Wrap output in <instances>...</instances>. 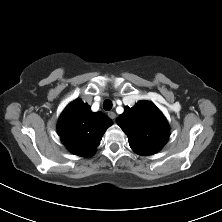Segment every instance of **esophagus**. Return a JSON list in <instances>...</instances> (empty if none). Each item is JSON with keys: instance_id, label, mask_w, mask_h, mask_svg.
Instances as JSON below:
<instances>
[{"instance_id": "obj_1", "label": "esophagus", "mask_w": 222, "mask_h": 222, "mask_svg": "<svg viewBox=\"0 0 222 222\" xmlns=\"http://www.w3.org/2000/svg\"><path fill=\"white\" fill-rule=\"evenodd\" d=\"M108 117L113 120V119H115L116 114L113 111H110V112H108Z\"/></svg>"}]
</instances>
